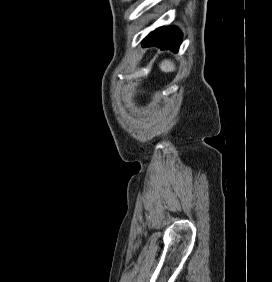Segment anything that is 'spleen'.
<instances>
[{"mask_svg": "<svg viewBox=\"0 0 272 282\" xmlns=\"http://www.w3.org/2000/svg\"><path fill=\"white\" fill-rule=\"evenodd\" d=\"M160 69L163 72H172L175 70V65L169 60H165L160 64Z\"/></svg>", "mask_w": 272, "mask_h": 282, "instance_id": "spleen-1", "label": "spleen"}]
</instances>
